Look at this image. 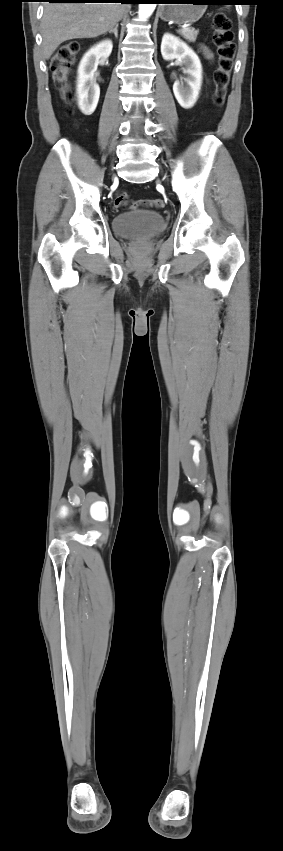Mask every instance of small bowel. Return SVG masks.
Masks as SVG:
<instances>
[{
    "instance_id": "small-bowel-1",
    "label": "small bowel",
    "mask_w": 283,
    "mask_h": 851,
    "mask_svg": "<svg viewBox=\"0 0 283 851\" xmlns=\"http://www.w3.org/2000/svg\"><path fill=\"white\" fill-rule=\"evenodd\" d=\"M202 52L208 60L212 59V53L206 47H202Z\"/></svg>"
}]
</instances>
